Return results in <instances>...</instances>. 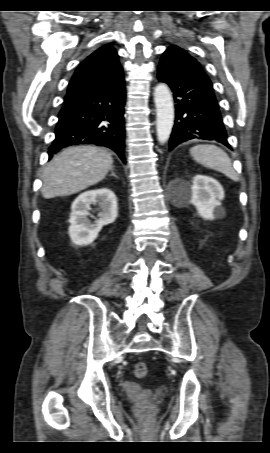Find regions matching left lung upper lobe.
<instances>
[{"label":"left lung upper lobe","instance_id":"obj_1","mask_svg":"<svg viewBox=\"0 0 270 453\" xmlns=\"http://www.w3.org/2000/svg\"><path fill=\"white\" fill-rule=\"evenodd\" d=\"M164 56H176V57H182V58H186L188 60H190L191 62L197 64L200 68H201V65L199 64V62L194 59L193 57H191L185 50H183L182 48L178 47V46H171L169 47L165 52H164ZM202 69V68H201Z\"/></svg>","mask_w":270,"mask_h":453}]
</instances>
